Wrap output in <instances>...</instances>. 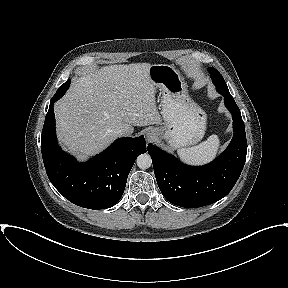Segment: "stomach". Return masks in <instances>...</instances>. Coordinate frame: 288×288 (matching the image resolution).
I'll list each match as a JSON object with an SVG mask.
<instances>
[{
    "label": "stomach",
    "mask_w": 288,
    "mask_h": 288,
    "mask_svg": "<svg viewBox=\"0 0 288 288\" xmlns=\"http://www.w3.org/2000/svg\"><path fill=\"white\" fill-rule=\"evenodd\" d=\"M156 90L162 94L163 126L152 128L158 139H165L172 149L198 143L206 130V113L189 96L187 84L171 65L154 64L148 71Z\"/></svg>",
    "instance_id": "1"
}]
</instances>
